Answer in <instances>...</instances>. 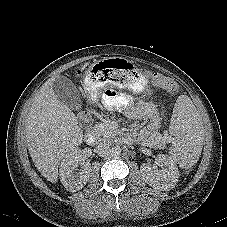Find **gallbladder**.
Listing matches in <instances>:
<instances>
[{
	"label": "gallbladder",
	"instance_id": "bac80fb5",
	"mask_svg": "<svg viewBox=\"0 0 227 227\" xmlns=\"http://www.w3.org/2000/svg\"><path fill=\"white\" fill-rule=\"evenodd\" d=\"M57 98L72 110L80 109L81 97L74 83L65 76L56 77L52 85Z\"/></svg>",
	"mask_w": 227,
	"mask_h": 227
}]
</instances>
